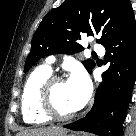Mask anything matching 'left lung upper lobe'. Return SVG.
<instances>
[{
  "label": "left lung upper lobe",
  "instance_id": "left-lung-upper-lobe-1",
  "mask_svg": "<svg viewBox=\"0 0 136 136\" xmlns=\"http://www.w3.org/2000/svg\"><path fill=\"white\" fill-rule=\"evenodd\" d=\"M131 9L129 0H65L50 11L37 28L24 72L44 56L83 50L77 41L84 33L99 35L97 42L103 44L120 27ZM83 64L88 72L95 66L92 60Z\"/></svg>",
  "mask_w": 136,
  "mask_h": 136
}]
</instances>
